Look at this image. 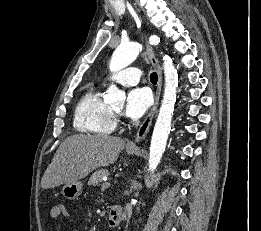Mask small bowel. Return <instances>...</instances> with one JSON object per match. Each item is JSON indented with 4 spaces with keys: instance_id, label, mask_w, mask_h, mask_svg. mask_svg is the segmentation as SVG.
<instances>
[{
    "instance_id": "1",
    "label": "small bowel",
    "mask_w": 261,
    "mask_h": 231,
    "mask_svg": "<svg viewBox=\"0 0 261 231\" xmlns=\"http://www.w3.org/2000/svg\"><path fill=\"white\" fill-rule=\"evenodd\" d=\"M50 216L56 219L60 216H68V212L63 204H55L50 210Z\"/></svg>"
}]
</instances>
